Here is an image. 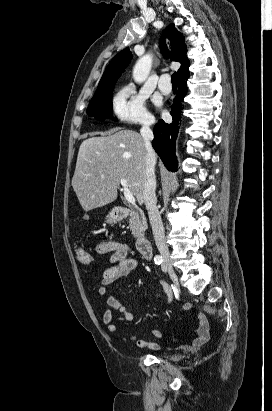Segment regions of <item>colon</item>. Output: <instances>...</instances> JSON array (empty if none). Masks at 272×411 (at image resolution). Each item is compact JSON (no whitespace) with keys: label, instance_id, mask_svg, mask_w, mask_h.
Instances as JSON below:
<instances>
[{"label":"colon","instance_id":"obj_1","mask_svg":"<svg viewBox=\"0 0 272 411\" xmlns=\"http://www.w3.org/2000/svg\"><path fill=\"white\" fill-rule=\"evenodd\" d=\"M76 259L83 265H90L92 263L91 255L84 248L76 249Z\"/></svg>","mask_w":272,"mask_h":411}]
</instances>
